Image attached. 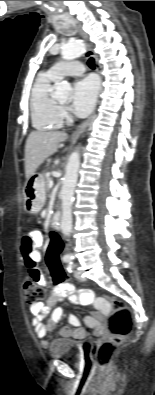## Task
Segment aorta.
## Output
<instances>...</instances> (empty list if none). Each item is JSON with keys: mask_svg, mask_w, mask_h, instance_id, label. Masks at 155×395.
<instances>
[{"mask_svg": "<svg viewBox=\"0 0 155 395\" xmlns=\"http://www.w3.org/2000/svg\"><path fill=\"white\" fill-rule=\"evenodd\" d=\"M85 44L82 41L68 42L61 47V55L65 60H73L85 52ZM71 92V85L67 81H60L56 83L54 96L56 99H66ZM80 167L79 151H74L66 166V173L64 176L62 188L60 191L62 217H61V231L64 236L69 237L72 231V203L74 199V190L78 180V170ZM71 258V254L66 255Z\"/></svg>", "mask_w": 155, "mask_h": 395, "instance_id": "1", "label": "aorta"}]
</instances>
